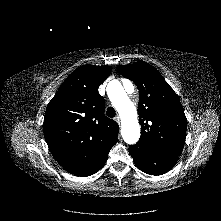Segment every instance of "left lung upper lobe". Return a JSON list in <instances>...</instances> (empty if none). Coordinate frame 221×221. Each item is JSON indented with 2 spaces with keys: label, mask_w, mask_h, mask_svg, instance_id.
Wrapping results in <instances>:
<instances>
[{
  "label": "left lung upper lobe",
  "mask_w": 221,
  "mask_h": 221,
  "mask_svg": "<svg viewBox=\"0 0 221 221\" xmlns=\"http://www.w3.org/2000/svg\"><path fill=\"white\" fill-rule=\"evenodd\" d=\"M138 87L141 137L138 143L157 152L179 157L186 139L187 119L174 90L145 61L117 66Z\"/></svg>",
  "instance_id": "obj_1"
}]
</instances>
